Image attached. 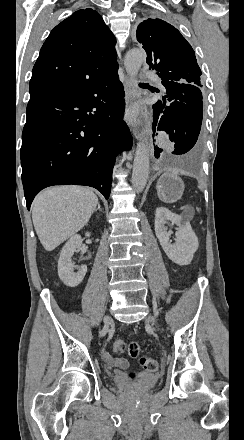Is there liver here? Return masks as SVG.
I'll use <instances>...</instances> for the list:
<instances>
[{"label":"liver","instance_id":"obj_1","mask_svg":"<svg viewBox=\"0 0 244 440\" xmlns=\"http://www.w3.org/2000/svg\"><path fill=\"white\" fill-rule=\"evenodd\" d=\"M97 204L90 188L60 186L40 192L33 202L32 222L43 248L52 252L82 230Z\"/></svg>","mask_w":244,"mask_h":440}]
</instances>
